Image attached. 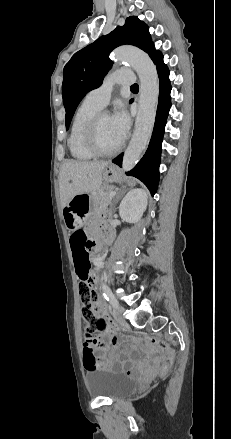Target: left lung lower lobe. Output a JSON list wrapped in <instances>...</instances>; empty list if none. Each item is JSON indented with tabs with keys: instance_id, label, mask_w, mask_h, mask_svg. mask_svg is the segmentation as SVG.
Instances as JSON below:
<instances>
[{
	"instance_id": "obj_1",
	"label": "left lung lower lobe",
	"mask_w": 231,
	"mask_h": 439,
	"mask_svg": "<svg viewBox=\"0 0 231 439\" xmlns=\"http://www.w3.org/2000/svg\"><path fill=\"white\" fill-rule=\"evenodd\" d=\"M157 67L158 76L160 79L159 102L157 107L155 125L148 149L139 161V163L127 173V175L134 176L140 179L150 190L151 194L157 190L159 182V165L161 156V143L166 124V118L171 107V85L169 81V70L163 63V56L158 52L151 58ZM132 102V101H130ZM123 153L112 160L113 163L121 166Z\"/></svg>"
}]
</instances>
